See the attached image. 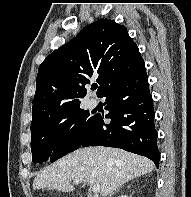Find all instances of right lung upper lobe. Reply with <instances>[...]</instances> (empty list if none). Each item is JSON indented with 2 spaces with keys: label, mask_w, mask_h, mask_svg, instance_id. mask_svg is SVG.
I'll return each mask as SVG.
<instances>
[{
  "label": "right lung upper lobe",
  "mask_w": 191,
  "mask_h": 197,
  "mask_svg": "<svg viewBox=\"0 0 191 197\" xmlns=\"http://www.w3.org/2000/svg\"><path fill=\"white\" fill-rule=\"evenodd\" d=\"M145 63L127 29L102 18L49 54L39 66L33 99L31 128L80 105L85 86L97 77L98 95L112 83Z\"/></svg>",
  "instance_id": "cb5924a9"
}]
</instances>
